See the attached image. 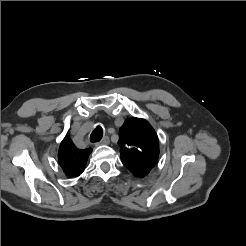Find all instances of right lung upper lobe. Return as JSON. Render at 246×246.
Returning <instances> with one entry per match:
<instances>
[{"label":"right lung upper lobe","instance_id":"cb5924a9","mask_svg":"<svg viewBox=\"0 0 246 246\" xmlns=\"http://www.w3.org/2000/svg\"><path fill=\"white\" fill-rule=\"evenodd\" d=\"M91 152V148H76L70 137L66 136L59 147L58 161L67 176L77 177L84 171Z\"/></svg>","mask_w":246,"mask_h":246}]
</instances>
